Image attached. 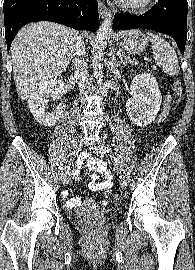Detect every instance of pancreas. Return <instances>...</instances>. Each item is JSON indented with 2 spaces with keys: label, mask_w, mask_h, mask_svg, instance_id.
<instances>
[{
  "label": "pancreas",
  "mask_w": 195,
  "mask_h": 270,
  "mask_svg": "<svg viewBox=\"0 0 195 270\" xmlns=\"http://www.w3.org/2000/svg\"><path fill=\"white\" fill-rule=\"evenodd\" d=\"M120 61L123 65H126L127 63L138 64V61L136 59L131 58L124 53H122V56L120 57Z\"/></svg>",
  "instance_id": "cf45deb5"
}]
</instances>
